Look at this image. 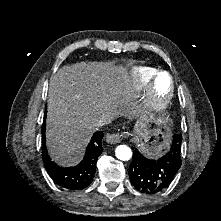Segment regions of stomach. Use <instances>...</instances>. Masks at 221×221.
I'll return each mask as SVG.
<instances>
[{
    "instance_id": "0dacf381",
    "label": "stomach",
    "mask_w": 221,
    "mask_h": 221,
    "mask_svg": "<svg viewBox=\"0 0 221 221\" xmlns=\"http://www.w3.org/2000/svg\"><path fill=\"white\" fill-rule=\"evenodd\" d=\"M136 142L143 154L153 157L170 144L171 129L167 118L151 122L139 121L135 125Z\"/></svg>"
}]
</instances>
